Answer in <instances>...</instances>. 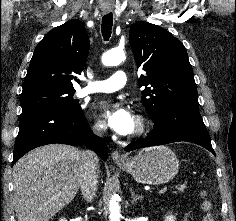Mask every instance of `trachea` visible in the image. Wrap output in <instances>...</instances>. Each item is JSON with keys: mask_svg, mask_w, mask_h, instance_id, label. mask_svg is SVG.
<instances>
[{"mask_svg": "<svg viewBox=\"0 0 236 221\" xmlns=\"http://www.w3.org/2000/svg\"><path fill=\"white\" fill-rule=\"evenodd\" d=\"M113 26V15L112 13L106 14L102 17L101 31L105 41H108L111 36Z\"/></svg>", "mask_w": 236, "mask_h": 221, "instance_id": "obj_1", "label": "trachea"}]
</instances>
